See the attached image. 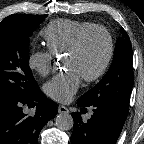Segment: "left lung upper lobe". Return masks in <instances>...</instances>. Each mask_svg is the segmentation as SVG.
Segmentation results:
<instances>
[{"mask_svg": "<svg viewBox=\"0 0 144 144\" xmlns=\"http://www.w3.org/2000/svg\"><path fill=\"white\" fill-rule=\"evenodd\" d=\"M117 39L113 62L107 74L92 89L80 97L83 106L108 103L125 111L129 109L130 93L134 83L132 46L129 36L121 29Z\"/></svg>", "mask_w": 144, "mask_h": 144, "instance_id": "left-lung-upper-lobe-1", "label": "left lung upper lobe"}]
</instances>
